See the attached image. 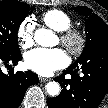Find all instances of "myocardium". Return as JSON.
I'll list each match as a JSON object with an SVG mask.
<instances>
[{
	"mask_svg": "<svg viewBox=\"0 0 108 108\" xmlns=\"http://www.w3.org/2000/svg\"><path fill=\"white\" fill-rule=\"evenodd\" d=\"M60 42L72 55H79L86 45L84 34L77 29L69 28L60 34Z\"/></svg>",
	"mask_w": 108,
	"mask_h": 108,
	"instance_id": "myocardium-1",
	"label": "myocardium"
}]
</instances>
